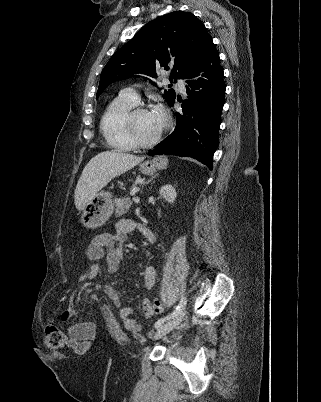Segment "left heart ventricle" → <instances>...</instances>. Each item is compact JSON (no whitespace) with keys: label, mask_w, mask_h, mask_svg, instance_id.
I'll return each mask as SVG.
<instances>
[{"label":"left heart ventricle","mask_w":321,"mask_h":402,"mask_svg":"<svg viewBox=\"0 0 321 402\" xmlns=\"http://www.w3.org/2000/svg\"><path fill=\"white\" fill-rule=\"evenodd\" d=\"M164 120L154 118L149 111L136 114L134 126L138 137L142 141H149L158 133Z\"/></svg>","instance_id":"obj_1"}]
</instances>
